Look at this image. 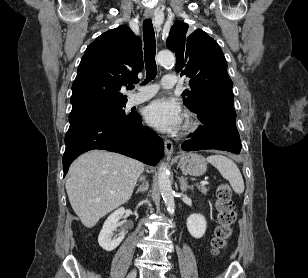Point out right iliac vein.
Segmentation results:
<instances>
[{
	"mask_svg": "<svg viewBox=\"0 0 308 278\" xmlns=\"http://www.w3.org/2000/svg\"><path fill=\"white\" fill-rule=\"evenodd\" d=\"M137 270L133 269L127 276V278H136Z\"/></svg>",
	"mask_w": 308,
	"mask_h": 278,
	"instance_id": "63e3f726",
	"label": "right iliac vein"
}]
</instances>
